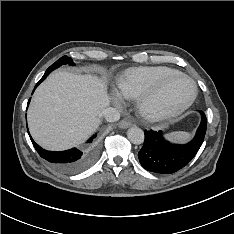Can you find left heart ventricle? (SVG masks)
Returning <instances> with one entry per match:
<instances>
[{
	"mask_svg": "<svg viewBox=\"0 0 234 234\" xmlns=\"http://www.w3.org/2000/svg\"><path fill=\"white\" fill-rule=\"evenodd\" d=\"M193 91L191 83L184 78L173 79L156 97L159 106H177L189 99Z\"/></svg>",
	"mask_w": 234,
	"mask_h": 234,
	"instance_id": "b2bd125f",
	"label": "left heart ventricle"
}]
</instances>
